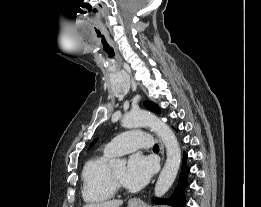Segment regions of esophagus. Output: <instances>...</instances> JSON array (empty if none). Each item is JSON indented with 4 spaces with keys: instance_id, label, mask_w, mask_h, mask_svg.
<instances>
[{
    "instance_id": "34e87169",
    "label": "esophagus",
    "mask_w": 261,
    "mask_h": 207,
    "mask_svg": "<svg viewBox=\"0 0 261 207\" xmlns=\"http://www.w3.org/2000/svg\"><path fill=\"white\" fill-rule=\"evenodd\" d=\"M159 148H160V154H161V158H162V161L164 160V146H163V143L159 140ZM139 199L138 198H134L131 200V203L132 204H137L139 203Z\"/></svg>"
}]
</instances>
